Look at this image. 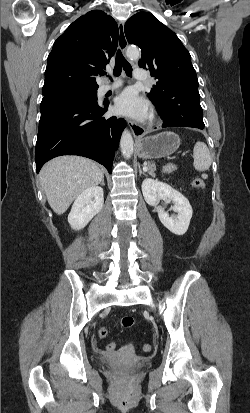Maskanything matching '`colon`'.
<instances>
[{
    "label": "colon",
    "instance_id": "obj_1",
    "mask_svg": "<svg viewBox=\"0 0 250 413\" xmlns=\"http://www.w3.org/2000/svg\"><path fill=\"white\" fill-rule=\"evenodd\" d=\"M177 170V165L174 163H168L163 167V172L165 173H170ZM192 186L197 189H205V182L201 178H195L192 180ZM119 326L123 328H129L134 325V318L132 316H123L120 318L118 322ZM108 335V324L107 323H102L101 327L98 330V336L100 338H105ZM115 341L114 342H107L105 345V351H107L108 354L112 355L115 353ZM151 350V345L150 344H145L143 345V351L144 352H149Z\"/></svg>",
    "mask_w": 250,
    "mask_h": 413
}]
</instances>
